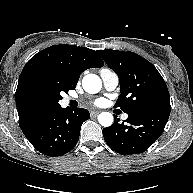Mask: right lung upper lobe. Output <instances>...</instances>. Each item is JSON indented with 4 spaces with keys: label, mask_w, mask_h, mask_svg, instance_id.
<instances>
[{
    "label": "right lung upper lobe",
    "mask_w": 193,
    "mask_h": 193,
    "mask_svg": "<svg viewBox=\"0 0 193 193\" xmlns=\"http://www.w3.org/2000/svg\"><path fill=\"white\" fill-rule=\"evenodd\" d=\"M104 65L94 50L75 45H53L34 55L24 66L16 90V107L22 131L46 114L59 109V100L38 93L41 81L57 80L64 89H74L83 71Z\"/></svg>",
    "instance_id": "1"
}]
</instances>
